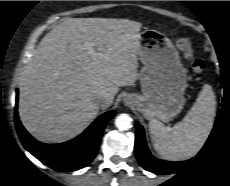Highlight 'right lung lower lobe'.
<instances>
[{"mask_svg": "<svg viewBox=\"0 0 230 186\" xmlns=\"http://www.w3.org/2000/svg\"><path fill=\"white\" fill-rule=\"evenodd\" d=\"M16 93L18 94V91ZM15 110H17V105ZM114 115L115 111L104 113L78 137L53 145L35 140L22 126L17 111H15V124L24 147L43 164L59 171H75L88 165L94 159L102 132Z\"/></svg>", "mask_w": 230, "mask_h": 186, "instance_id": "obj_1", "label": "right lung lower lobe"}]
</instances>
